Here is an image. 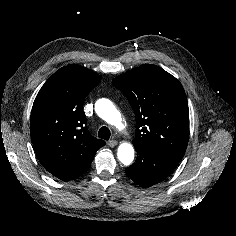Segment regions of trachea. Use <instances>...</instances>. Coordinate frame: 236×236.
<instances>
[{
  "label": "trachea",
  "mask_w": 236,
  "mask_h": 236,
  "mask_svg": "<svg viewBox=\"0 0 236 236\" xmlns=\"http://www.w3.org/2000/svg\"><path fill=\"white\" fill-rule=\"evenodd\" d=\"M110 135H111V133H110V130L108 127L103 126L99 129V132H98L99 138H102L104 140H109Z\"/></svg>",
  "instance_id": "trachea-1"
}]
</instances>
